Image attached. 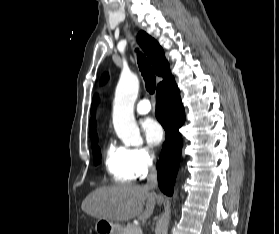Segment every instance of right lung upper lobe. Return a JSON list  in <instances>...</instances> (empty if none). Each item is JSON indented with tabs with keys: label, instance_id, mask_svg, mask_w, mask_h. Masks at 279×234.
I'll return each instance as SVG.
<instances>
[{
	"label": "right lung upper lobe",
	"instance_id": "cb5924a9",
	"mask_svg": "<svg viewBox=\"0 0 279 234\" xmlns=\"http://www.w3.org/2000/svg\"><path fill=\"white\" fill-rule=\"evenodd\" d=\"M138 42L146 55L148 56L150 62L153 65V68L155 70V73L158 76H162L164 80L159 83L158 85L162 84L163 82L167 81L170 77H172L169 69V64L165 58V54L159 43L150 37L147 33L144 31H141L138 34ZM107 80V75H103L102 77V83ZM89 126L93 128L90 130L89 135L92 139V145L98 140L97 133L95 131V121L92 119L90 120Z\"/></svg>",
	"mask_w": 279,
	"mask_h": 234
}]
</instances>
